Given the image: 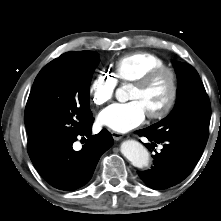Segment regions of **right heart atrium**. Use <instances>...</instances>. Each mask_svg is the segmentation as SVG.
Returning <instances> with one entry per match:
<instances>
[{
	"label": "right heart atrium",
	"instance_id": "right-heart-atrium-1",
	"mask_svg": "<svg viewBox=\"0 0 221 221\" xmlns=\"http://www.w3.org/2000/svg\"><path fill=\"white\" fill-rule=\"evenodd\" d=\"M116 86L117 82L112 75L106 72L98 73L89 86L93 104L101 106L110 102L115 94Z\"/></svg>",
	"mask_w": 221,
	"mask_h": 221
}]
</instances>
